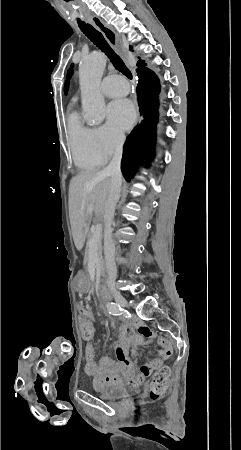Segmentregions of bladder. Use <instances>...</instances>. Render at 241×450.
Returning <instances> with one entry per match:
<instances>
[{
  "label": "bladder",
  "instance_id": "1",
  "mask_svg": "<svg viewBox=\"0 0 241 450\" xmlns=\"http://www.w3.org/2000/svg\"><path fill=\"white\" fill-rule=\"evenodd\" d=\"M125 393V389L119 385H112L107 390L103 391L101 394L105 398H119Z\"/></svg>",
  "mask_w": 241,
  "mask_h": 450
}]
</instances>
